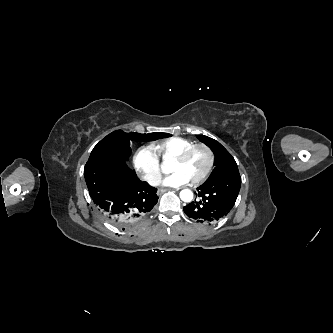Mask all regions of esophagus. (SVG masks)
<instances>
[{
  "label": "esophagus",
  "instance_id": "1",
  "mask_svg": "<svg viewBox=\"0 0 333 333\" xmlns=\"http://www.w3.org/2000/svg\"><path fill=\"white\" fill-rule=\"evenodd\" d=\"M169 190H171V189H164V188H161V189L158 190L157 194H158V195H162L163 193H165V192H167V191H169Z\"/></svg>",
  "mask_w": 333,
  "mask_h": 333
}]
</instances>
